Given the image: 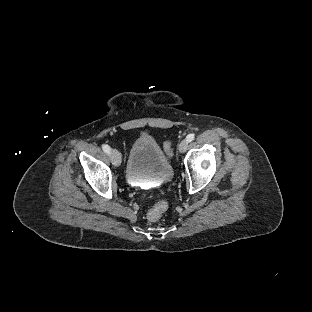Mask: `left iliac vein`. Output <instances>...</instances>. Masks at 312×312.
<instances>
[{"instance_id":"obj_1","label":"left iliac vein","mask_w":312,"mask_h":312,"mask_svg":"<svg viewBox=\"0 0 312 312\" xmlns=\"http://www.w3.org/2000/svg\"><path fill=\"white\" fill-rule=\"evenodd\" d=\"M188 147V140L184 139L180 144H179V151L180 152H185Z\"/></svg>"}]
</instances>
